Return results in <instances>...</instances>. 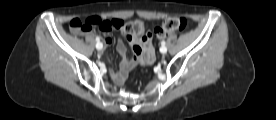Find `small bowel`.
<instances>
[{
	"label": "small bowel",
	"mask_w": 276,
	"mask_h": 120,
	"mask_svg": "<svg viewBox=\"0 0 276 120\" xmlns=\"http://www.w3.org/2000/svg\"><path fill=\"white\" fill-rule=\"evenodd\" d=\"M109 22L111 23V29L106 31L108 35L104 38V43L107 46H110L113 42V39L111 38L109 33L118 30V24L122 23L120 20L115 19L109 20ZM128 41L133 48V54L130 58L126 57V47L124 43L120 40L117 44L118 53L122 57L120 69L115 76L117 80H121L137 64H150L154 58L151 33H149L147 38L143 40L128 38ZM136 49H140L141 53H137Z\"/></svg>",
	"instance_id": "c3829d8e"
}]
</instances>
